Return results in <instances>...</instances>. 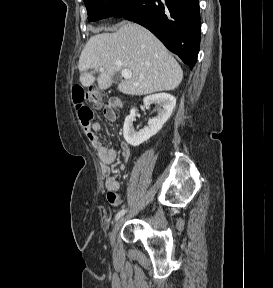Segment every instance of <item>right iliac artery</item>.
I'll return each mask as SVG.
<instances>
[{
    "instance_id": "obj_1",
    "label": "right iliac artery",
    "mask_w": 273,
    "mask_h": 288,
    "mask_svg": "<svg viewBox=\"0 0 273 288\" xmlns=\"http://www.w3.org/2000/svg\"><path fill=\"white\" fill-rule=\"evenodd\" d=\"M126 210L122 209L120 210L116 216H115V220L117 221L119 218H121L124 214H125Z\"/></svg>"
}]
</instances>
